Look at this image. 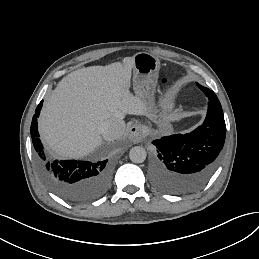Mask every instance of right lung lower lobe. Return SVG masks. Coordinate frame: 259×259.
I'll return each instance as SVG.
<instances>
[{
	"label": "right lung lower lobe",
	"instance_id": "98d812e1",
	"mask_svg": "<svg viewBox=\"0 0 259 259\" xmlns=\"http://www.w3.org/2000/svg\"><path fill=\"white\" fill-rule=\"evenodd\" d=\"M42 104L43 101L37 106L31 123V138L41 177L53 191L69 202L82 203L102 196L108 189L111 176L107 159L98 162L48 160L37 125Z\"/></svg>",
	"mask_w": 259,
	"mask_h": 259
}]
</instances>
